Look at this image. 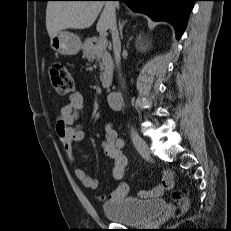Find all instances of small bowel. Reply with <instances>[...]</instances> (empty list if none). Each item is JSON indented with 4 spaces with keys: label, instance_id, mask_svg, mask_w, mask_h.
Returning <instances> with one entry per match:
<instances>
[{
    "label": "small bowel",
    "instance_id": "obj_1",
    "mask_svg": "<svg viewBox=\"0 0 231 231\" xmlns=\"http://www.w3.org/2000/svg\"><path fill=\"white\" fill-rule=\"evenodd\" d=\"M83 111L84 97L80 93H74L70 96L68 103L60 108L54 124L55 133L71 162L76 161L74 144L84 138V129L79 123V120L83 116ZM104 129L105 137L101 143L102 149L106 157L114 163L112 169L113 178L115 180H121L127 165V158L122 153L121 139L118 137L112 123H106ZM75 175L85 187L93 190L98 189V179L89 175L84 169H75ZM174 184L173 172L165 170L161 183L151 190L142 191L140 195L142 197H160L165 191L173 188ZM127 194L128 186L125 183H119L111 192L105 196H100L99 199L109 202L121 201Z\"/></svg>",
    "mask_w": 231,
    "mask_h": 231
}]
</instances>
